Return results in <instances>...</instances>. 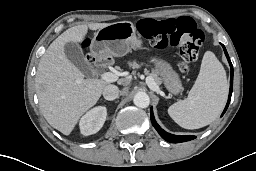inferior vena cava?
I'll return each instance as SVG.
<instances>
[{"label":"inferior vena cava","mask_w":256,"mask_h":171,"mask_svg":"<svg viewBox=\"0 0 256 171\" xmlns=\"http://www.w3.org/2000/svg\"><path fill=\"white\" fill-rule=\"evenodd\" d=\"M119 95V89L117 86L115 85H107L104 87L103 89V97L106 100H115L116 98H118Z\"/></svg>","instance_id":"inferior-vena-cava-1"}]
</instances>
